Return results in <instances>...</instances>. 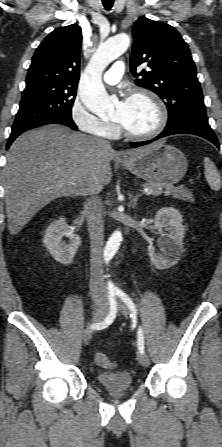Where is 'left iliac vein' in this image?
I'll use <instances>...</instances> for the list:
<instances>
[{
  "instance_id": "4c4485c4",
  "label": "left iliac vein",
  "mask_w": 222,
  "mask_h": 447,
  "mask_svg": "<svg viewBox=\"0 0 222 447\" xmlns=\"http://www.w3.org/2000/svg\"><path fill=\"white\" fill-rule=\"evenodd\" d=\"M118 308L121 314L127 318L129 315V310L122 301H118ZM138 361L144 367H147L149 365V358L145 352H139Z\"/></svg>"
}]
</instances>
